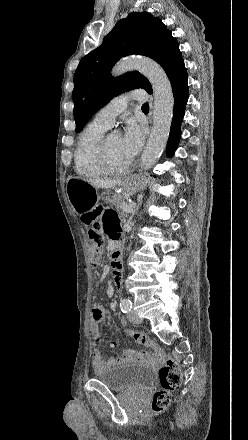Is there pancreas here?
<instances>
[{
    "label": "pancreas",
    "mask_w": 248,
    "mask_h": 440,
    "mask_svg": "<svg viewBox=\"0 0 248 440\" xmlns=\"http://www.w3.org/2000/svg\"><path fill=\"white\" fill-rule=\"evenodd\" d=\"M105 201H106V203L117 205V209H118V211H119V213L121 214L122 217H127L128 216L127 212H125L122 209V207H121V204L123 203L121 197L116 196V195L112 196V197H106Z\"/></svg>",
    "instance_id": "1"
}]
</instances>
